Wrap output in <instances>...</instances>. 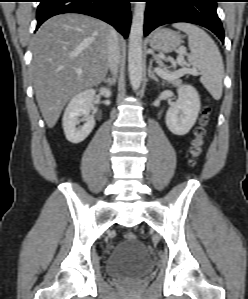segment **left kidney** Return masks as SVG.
<instances>
[{
    "label": "left kidney",
    "mask_w": 248,
    "mask_h": 299,
    "mask_svg": "<svg viewBox=\"0 0 248 299\" xmlns=\"http://www.w3.org/2000/svg\"><path fill=\"white\" fill-rule=\"evenodd\" d=\"M178 99L166 113V125L175 135H186L196 123L200 112V98L191 85L177 89Z\"/></svg>",
    "instance_id": "5707ae66"
}]
</instances>
